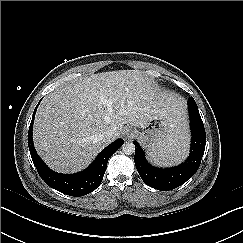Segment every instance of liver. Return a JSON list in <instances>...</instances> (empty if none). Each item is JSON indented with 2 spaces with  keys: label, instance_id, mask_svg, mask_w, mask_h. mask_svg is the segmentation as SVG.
Returning a JSON list of instances; mask_svg holds the SVG:
<instances>
[{
  "label": "liver",
  "instance_id": "liver-1",
  "mask_svg": "<svg viewBox=\"0 0 243 243\" xmlns=\"http://www.w3.org/2000/svg\"><path fill=\"white\" fill-rule=\"evenodd\" d=\"M184 104L139 70L92 74L56 88L42 101L34 145L51 169L78 172L112 142L103 138L108 130L117 138L126 124L143 128L152 117L167 116L171 133H186Z\"/></svg>",
  "mask_w": 243,
  "mask_h": 243
}]
</instances>
